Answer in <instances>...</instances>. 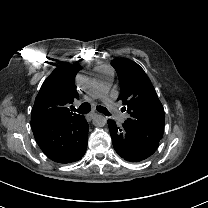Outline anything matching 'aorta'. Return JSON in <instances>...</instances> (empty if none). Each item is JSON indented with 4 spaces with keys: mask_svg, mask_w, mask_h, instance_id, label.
Wrapping results in <instances>:
<instances>
[{
    "mask_svg": "<svg viewBox=\"0 0 208 208\" xmlns=\"http://www.w3.org/2000/svg\"><path fill=\"white\" fill-rule=\"evenodd\" d=\"M92 122H93V125L96 126V127H103V126L106 125L107 119L102 114H95L93 116Z\"/></svg>",
    "mask_w": 208,
    "mask_h": 208,
    "instance_id": "1",
    "label": "aorta"
}]
</instances>
